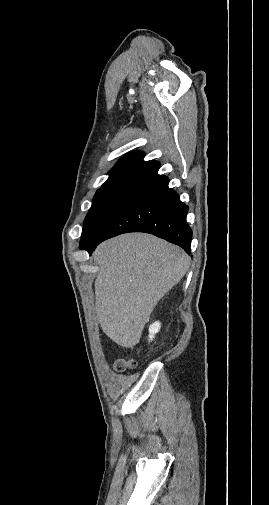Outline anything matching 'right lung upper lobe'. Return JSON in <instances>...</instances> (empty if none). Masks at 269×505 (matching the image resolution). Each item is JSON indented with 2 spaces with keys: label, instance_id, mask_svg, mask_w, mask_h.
<instances>
[{
  "label": "right lung upper lobe",
  "instance_id": "obj_1",
  "mask_svg": "<svg viewBox=\"0 0 269 505\" xmlns=\"http://www.w3.org/2000/svg\"><path fill=\"white\" fill-rule=\"evenodd\" d=\"M145 154L134 151L123 156L109 172L108 180L102 187H125L140 190L156 177L160 163L144 161Z\"/></svg>",
  "mask_w": 269,
  "mask_h": 505
}]
</instances>
